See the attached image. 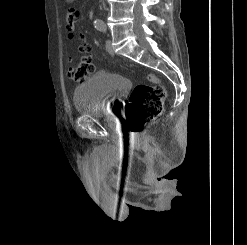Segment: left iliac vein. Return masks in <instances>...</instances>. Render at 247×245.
I'll list each match as a JSON object with an SVG mask.
<instances>
[{
    "mask_svg": "<svg viewBox=\"0 0 247 245\" xmlns=\"http://www.w3.org/2000/svg\"><path fill=\"white\" fill-rule=\"evenodd\" d=\"M106 49L110 55H114V49L109 39L106 41Z\"/></svg>",
    "mask_w": 247,
    "mask_h": 245,
    "instance_id": "obj_1",
    "label": "left iliac vein"
}]
</instances>
